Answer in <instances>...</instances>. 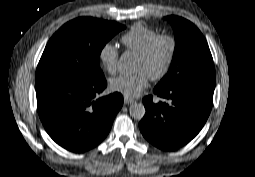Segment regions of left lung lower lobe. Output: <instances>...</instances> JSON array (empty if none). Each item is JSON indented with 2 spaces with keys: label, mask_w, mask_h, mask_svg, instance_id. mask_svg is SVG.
Returning <instances> with one entry per match:
<instances>
[{
  "label": "left lung lower lobe",
  "mask_w": 255,
  "mask_h": 177,
  "mask_svg": "<svg viewBox=\"0 0 255 177\" xmlns=\"http://www.w3.org/2000/svg\"><path fill=\"white\" fill-rule=\"evenodd\" d=\"M215 76L196 77L154 93L170 103L143 99L146 114L139 123L143 136L162 150L176 149L191 141L202 129L212 107Z\"/></svg>",
  "instance_id": "obj_1"
}]
</instances>
